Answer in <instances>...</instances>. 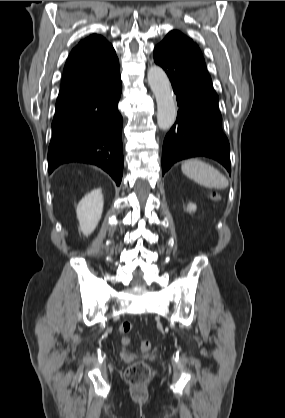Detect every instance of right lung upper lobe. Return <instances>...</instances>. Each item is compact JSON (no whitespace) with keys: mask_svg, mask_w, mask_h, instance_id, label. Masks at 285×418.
Instances as JSON below:
<instances>
[{"mask_svg":"<svg viewBox=\"0 0 285 418\" xmlns=\"http://www.w3.org/2000/svg\"><path fill=\"white\" fill-rule=\"evenodd\" d=\"M118 73L113 46L100 35H90L73 48L65 63L56 106L95 89Z\"/></svg>","mask_w":285,"mask_h":418,"instance_id":"obj_1","label":"right lung upper lobe"}]
</instances>
